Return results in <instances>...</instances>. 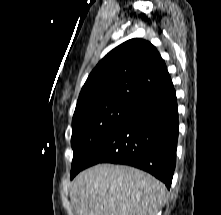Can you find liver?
Returning <instances> with one entry per match:
<instances>
[{
	"label": "liver",
	"instance_id": "6515ba94",
	"mask_svg": "<svg viewBox=\"0 0 221 215\" xmlns=\"http://www.w3.org/2000/svg\"><path fill=\"white\" fill-rule=\"evenodd\" d=\"M165 185L129 166L99 164L74 179L71 204L77 215H157Z\"/></svg>",
	"mask_w": 221,
	"mask_h": 215
}]
</instances>
